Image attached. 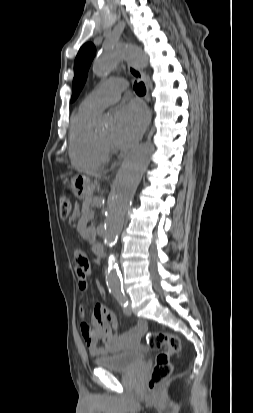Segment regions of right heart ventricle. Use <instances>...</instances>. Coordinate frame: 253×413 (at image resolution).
<instances>
[{"label":"right heart ventricle","mask_w":253,"mask_h":413,"mask_svg":"<svg viewBox=\"0 0 253 413\" xmlns=\"http://www.w3.org/2000/svg\"><path fill=\"white\" fill-rule=\"evenodd\" d=\"M97 112L82 105L73 114L70 124L69 157L80 167L99 168L107 161V150L92 132V123Z\"/></svg>","instance_id":"obj_1"}]
</instances>
